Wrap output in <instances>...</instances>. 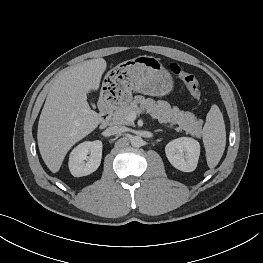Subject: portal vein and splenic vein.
I'll return each mask as SVG.
<instances>
[{
    "instance_id": "18ae733b",
    "label": "portal vein and splenic vein",
    "mask_w": 263,
    "mask_h": 263,
    "mask_svg": "<svg viewBox=\"0 0 263 263\" xmlns=\"http://www.w3.org/2000/svg\"><path fill=\"white\" fill-rule=\"evenodd\" d=\"M136 113L135 112H131L130 114H129V116H128V119L130 120V121H134L135 120V118H136ZM167 127H170L171 128V126H167Z\"/></svg>"
}]
</instances>
